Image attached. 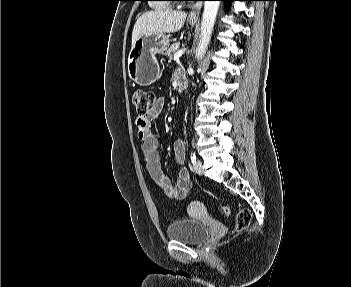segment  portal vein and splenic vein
Returning <instances> with one entry per match:
<instances>
[{
	"label": "portal vein and splenic vein",
	"mask_w": 351,
	"mask_h": 287,
	"mask_svg": "<svg viewBox=\"0 0 351 287\" xmlns=\"http://www.w3.org/2000/svg\"><path fill=\"white\" fill-rule=\"evenodd\" d=\"M184 52H185V49H181V50L177 51L174 54V60L175 61L179 60V58L183 55Z\"/></svg>",
	"instance_id": "portal-vein-and-splenic-vein-1"
}]
</instances>
